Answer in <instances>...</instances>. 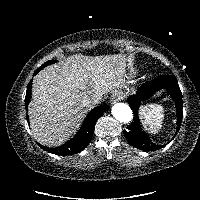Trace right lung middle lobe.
<instances>
[{
    "instance_id": "right-lung-middle-lobe-1",
    "label": "right lung middle lobe",
    "mask_w": 200,
    "mask_h": 200,
    "mask_svg": "<svg viewBox=\"0 0 200 200\" xmlns=\"http://www.w3.org/2000/svg\"><path fill=\"white\" fill-rule=\"evenodd\" d=\"M55 62H56L55 60H50V61L45 62L41 67H39L36 70V72L34 74H37L41 69H43L44 67H46V66H48V65H50L52 63H55Z\"/></svg>"
}]
</instances>
